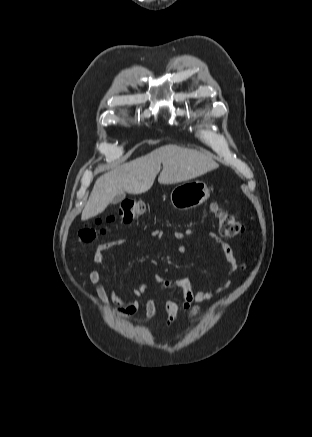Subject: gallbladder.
Returning <instances> with one entry per match:
<instances>
[{
    "label": "gallbladder",
    "mask_w": 312,
    "mask_h": 437,
    "mask_svg": "<svg viewBox=\"0 0 312 437\" xmlns=\"http://www.w3.org/2000/svg\"><path fill=\"white\" fill-rule=\"evenodd\" d=\"M124 198H125V194H124V193L118 194V195L114 198L113 202H115V203H119V202H121L122 200H124Z\"/></svg>",
    "instance_id": "obj_1"
}]
</instances>
